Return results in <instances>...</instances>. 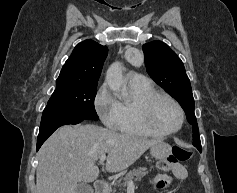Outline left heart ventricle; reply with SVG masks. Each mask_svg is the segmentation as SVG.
I'll use <instances>...</instances> for the list:
<instances>
[{
  "label": "left heart ventricle",
  "instance_id": "b2bd125f",
  "mask_svg": "<svg viewBox=\"0 0 237 193\" xmlns=\"http://www.w3.org/2000/svg\"><path fill=\"white\" fill-rule=\"evenodd\" d=\"M152 122L159 129L173 130L180 123L179 111L172 102L161 99L152 111Z\"/></svg>",
  "mask_w": 237,
  "mask_h": 193
}]
</instances>
